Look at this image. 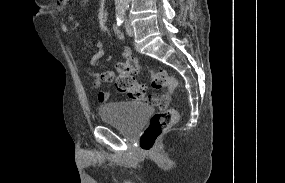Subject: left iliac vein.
<instances>
[{
	"label": "left iliac vein",
	"instance_id": "obj_1",
	"mask_svg": "<svg viewBox=\"0 0 285 183\" xmlns=\"http://www.w3.org/2000/svg\"><path fill=\"white\" fill-rule=\"evenodd\" d=\"M125 27H126V32L127 34L132 37L134 36V29L130 23V21L128 19H126V22H125Z\"/></svg>",
	"mask_w": 285,
	"mask_h": 183
}]
</instances>
